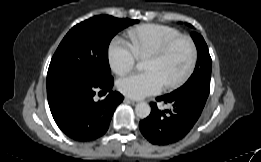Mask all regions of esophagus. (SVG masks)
<instances>
[{
	"instance_id": "1",
	"label": "esophagus",
	"mask_w": 261,
	"mask_h": 162,
	"mask_svg": "<svg viewBox=\"0 0 261 162\" xmlns=\"http://www.w3.org/2000/svg\"><path fill=\"white\" fill-rule=\"evenodd\" d=\"M125 100H126L127 102L133 104V105H135V104L137 103L136 101L131 100V99L127 98V97L125 98Z\"/></svg>"
}]
</instances>
